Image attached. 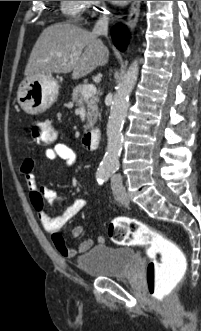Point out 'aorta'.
Listing matches in <instances>:
<instances>
[{
	"label": "aorta",
	"instance_id": "1",
	"mask_svg": "<svg viewBox=\"0 0 201 331\" xmlns=\"http://www.w3.org/2000/svg\"><path fill=\"white\" fill-rule=\"evenodd\" d=\"M138 73V60H134L114 95L107 123V149L97 173L99 178H107L119 166L122 128L129 108V95L137 82Z\"/></svg>",
	"mask_w": 201,
	"mask_h": 331
}]
</instances>
